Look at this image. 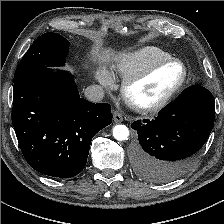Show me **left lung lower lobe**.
<instances>
[{
	"label": "left lung lower lobe",
	"instance_id": "0a47b994",
	"mask_svg": "<svg viewBox=\"0 0 224 224\" xmlns=\"http://www.w3.org/2000/svg\"><path fill=\"white\" fill-rule=\"evenodd\" d=\"M214 108L213 95L193 85L153 120L133 122L139 140L133 153L135 173L154 183H166L185 174L211 133Z\"/></svg>",
	"mask_w": 224,
	"mask_h": 224
}]
</instances>
